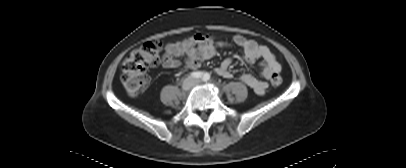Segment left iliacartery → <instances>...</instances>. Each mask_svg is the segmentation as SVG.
Wrapping results in <instances>:
<instances>
[{"label":"left iliac artery","mask_w":406,"mask_h":168,"mask_svg":"<svg viewBox=\"0 0 406 168\" xmlns=\"http://www.w3.org/2000/svg\"><path fill=\"white\" fill-rule=\"evenodd\" d=\"M209 79H210V75H209L208 73H205V74L203 75L202 80L205 81V82H207Z\"/></svg>","instance_id":"left-iliac-artery-1"}]
</instances>
